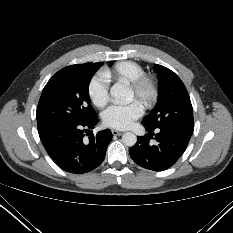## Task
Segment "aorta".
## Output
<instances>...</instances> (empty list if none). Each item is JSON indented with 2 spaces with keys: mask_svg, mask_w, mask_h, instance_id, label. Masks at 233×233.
<instances>
[{
  "mask_svg": "<svg viewBox=\"0 0 233 233\" xmlns=\"http://www.w3.org/2000/svg\"><path fill=\"white\" fill-rule=\"evenodd\" d=\"M110 94L113 98L124 102L132 100V92L126 85L121 83H115L110 89ZM122 142L124 145L131 147L136 144L137 137L132 132H126L122 136Z\"/></svg>",
  "mask_w": 233,
  "mask_h": 233,
  "instance_id": "762f6f07",
  "label": "aorta"
}]
</instances>
